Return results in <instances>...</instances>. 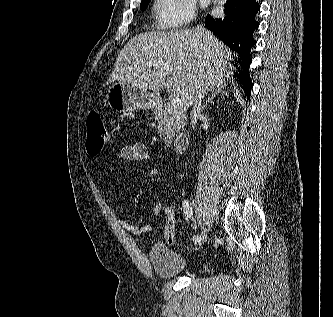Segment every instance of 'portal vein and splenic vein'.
I'll list each match as a JSON object with an SVG mask.
<instances>
[{
  "mask_svg": "<svg viewBox=\"0 0 333 317\" xmlns=\"http://www.w3.org/2000/svg\"><path fill=\"white\" fill-rule=\"evenodd\" d=\"M163 66L166 67V64H163ZM169 68V67H168ZM169 71L171 72L172 71V68H169ZM171 106L174 108V109H180L183 107V102L182 100L179 98V97H175L172 99L171 101Z\"/></svg>",
  "mask_w": 333,
  "mask_h": 317,
  "instance_id": "1",
  "label": "portal vein and splenic vein"
}]
</instances>
